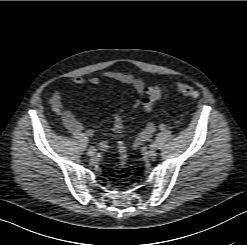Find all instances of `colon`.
<instances>
[{
	"mask_svg": "<svg viewBox=\"0 0 247 245\" xmlns=\"http://www.w3.org/2000/svg\"><path fill=\"white\" fill-rule=\"evenodd\" d=\"M177 90L179 93L185 98H197L199 93L193 87L185 84H179L177 86ZM163 95V91L160 88H151L149 90V99L151 102L158 101L161 99ZM118 153H119V160H118V168H124L127 164L128 159V151L126 146L119 142L118 144Z\"/></svg>",
	"mask_w": 247,
	"mask_h": 245,
	"instance_id": "1",
	"label": "colon"
}]
</instances>
